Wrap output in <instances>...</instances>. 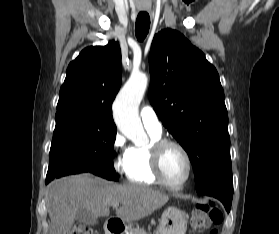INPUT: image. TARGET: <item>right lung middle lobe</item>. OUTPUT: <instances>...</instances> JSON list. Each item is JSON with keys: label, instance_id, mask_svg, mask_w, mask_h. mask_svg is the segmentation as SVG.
I'll return each mask as SVG.
<instances>
[{"label": "right lung middle lobe", "instance_id": "dd1d6c3e", "mask_svg": "<svg viewBox=\"0 0 279 234\" xmlns=\"http://www.w3.org/2000/svg\"><path fill=\"white\" fill-rule=\"evenodd\" d=\"M114 124L83 113L56 115L46 181L66 175L65 171L83 168L103 178L117 181L113 166Z\"/></svg>", "mask_w": 279, "mask_h": 234}]
</instances>
